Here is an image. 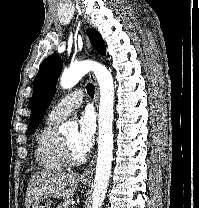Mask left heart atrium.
I'll return each instance as SVG.
<instances>
[{
	"label": "left heart atrium",
	"instance_id": "obj_1",
	"mask_svg": "<svg viewBox=\"0 0 199 208\" xmlns=\"http://www.w3.org/2000/svg\"><path fill=\"white\" fill-rule=\"evenodd\" d=\"M78 122V136L76 141V148L83 155H86L91 149L96 131L95 118L91 111L83 112L77 120Z\"/></svg>",
	"mask_w": 199,
	"mask_h": 208
}]
</instances>
